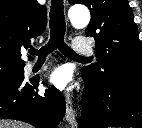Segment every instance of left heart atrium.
I'll list each match as a JSON object with an SVG mask.
<instances>
[{"mask_svg":"<svg viewBox=\"0 0 142 128\" xmlns=\"http://www.w3.org/2000/svg\"><path fill=\"white\" fill-rule=\"evenodd\" d=\"M69 81V72L65 67L56 68L50 75V82L57 88L63 89Z\"/></svg>","mask_w":142,"mask_h":128,"instance_id":"1","label":"left heart atrium"}]
</instances>
